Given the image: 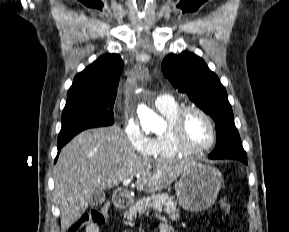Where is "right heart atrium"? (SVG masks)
I'll list each match as a JSON object with an SVG mask.
<instances>
[{"label":"right heart atrium","instance_id":"obj_1","mask_svg":"<svg viewBox=\"0 0 289 232\" xmlns=\"http://www.w3.org/2000/svg\"><path fill=\"white\" fill-rule=\"evenodd\" d=\"M123 133L133 151L144 156L150 155L152 139L144 133L136 118L131 115H125Z\"/></svg>","mask_w":289,"mask_h":232}]
</instances>
